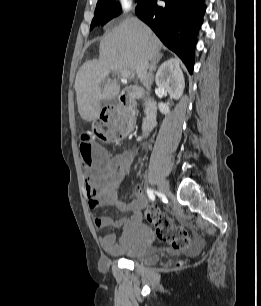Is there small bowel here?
<instances>
[{
    "label": "small bowel",
    "instance_id": "1",
    "mask_svg": "<svg viewBox=\"0 0 261 306\" xmlns=\"http://www.w3.org/2000/svg\"><path fill=\"white\" fill-rule=\"evenodd\" d=\"M97 159L99 152L103 158L96 172L86 176V192L88 206L96 209L103 206H114L122 212H130L129 217L102 216L95 219L99 229L107 227L121 228L119 237L107 233L99 237L101 248L110 255L129 254L145 241L147 230L142 223V211L148 204V198L140 187L134 190L135 197L130 202H122L118 198L119 191L131 170L134 153L126 150L114 156L107 157L105 152L96 146Z\"/></svg>",
    "mask_w": 261,
    "mask_h": 306
}]
</instances>
